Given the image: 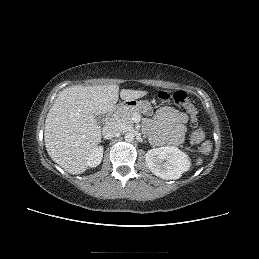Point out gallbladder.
Segmentation results:
<instances>
[{"instance_id": "gallbladder-1", "label": "gallbladder", "mask_w": 259, "mask_h": 259, "mask_svg": "<svg viewBox=\"0 0 259 259\" xmlns=\"http://www.w3.org/2000/svg\"><path fill=\"white\" fill-rule=\"evenodd\" d=\"M95 119H96L98 124H102L103 121H104V116L102 114L95 115Z\"/></svg>"}]
</instances>
